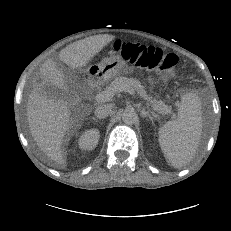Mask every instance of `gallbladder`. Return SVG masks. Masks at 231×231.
I'll use <instances>...</instances> for the list:
<instances>
[{"mask_svg":"<svg viewBox=\"0 0 231 231\" xmlns=\"http://www.w3.org/2000/svg\"><path fill=\"white\" fill-rule=\"evenodd\" d=\"M59 68L64 72L68 73L67 69L64 68L63 66L59 65ZM45 92L48 97L53 98V99H61L64 96H66V92L58 87H56L53 84H49L45 86Z\"/></svg>","mask_w":231,"mask_h":231,"instance_id":"1","label":"gallbladder"}]
</instances>
